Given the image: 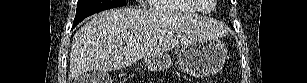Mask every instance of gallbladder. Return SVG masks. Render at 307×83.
<instances>
[{"label":"gallbladder","mask_w":307,"mask_h":83,"mask_svg":"<svg viewBox=\"0 0 307 83\" xmlns=\"http://www.w3.org/2000/svg\"><path fill=\"white\" fill-rule=\"evenodd\" d=\"M108 81L109 75L99 71H89L78 80L79 83H107Z\"/></svg>","instance_id":"obj_1"}]
</instances>
